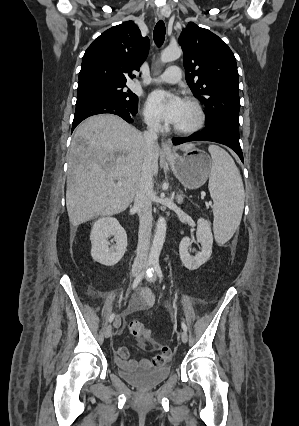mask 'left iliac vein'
I'll return each instance as SVG.
<instances>
[{"instance_id":"obj_1","label":"left iliac vein","mask_w":299,"mask_h":426,"mask_svg":"<svg viewBox=\"0 0 299 426\" xmlns=\"http://www.w3.org/2000/svg\"><path fill=\"white\" fill-rule=\"evenodd\" d=\"M149 270L151 271L152 276L151 277H147L146 279L149 282H154L156 280L155 274L152 272L151 269H149ZM181 340H182L183 343H186L188 341V334L184 330L181 333Z\"/></svg>"}]
</instances>
